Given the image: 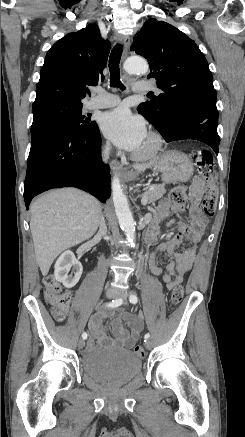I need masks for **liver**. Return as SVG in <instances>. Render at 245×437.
<instances>
[{"instance_id": "obj_1", "label": "liver", "mask_w": 245, "mask_h": 437, "mask_svg": "<svg viewBox=\"0 0 245 437\" xmlns=\"http://www.w3.org/2000/svg\"><path fill=\"white\" fill-rule=\"evenodd\" d=\"M150 165H139L144 171ZM30 229L36 261L46 276L54 259L64 250L88 240L96 232L100 202L74 188L53 190L37 198L30 207Z\"/></svg>"}]
</instances>
